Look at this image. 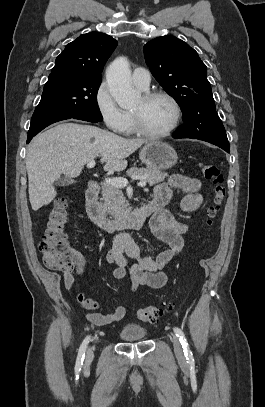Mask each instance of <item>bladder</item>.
Wrapping results in <instances>:
<instances>
[{
	"label": "bladder",
	"instance_id": "31cf9c89",
	"mask_svg": "<svg viewBox=\"0 0 265 407\" xmlns=\"http://www.w3.org/2000/svg\"><path fill=\"white\" fill-rule=\"evenodd\" d=\"M119 335L125 342H136L143 340L147 335V331L139 325L129 323L121 329Z\"/></svg>",
	"mask_w": 265,
	"mask_h": 407
}]
</instances>
